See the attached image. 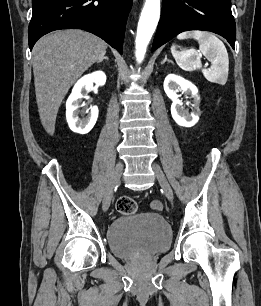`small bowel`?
<instances>
[{"instance_id":"1","label":"small bowel","mask_w":261,"mask_h":306,"mask_svg":"<svg viewBox=\"0 0 261 306\" xmlns=\"http://www.w3.org/2000/svg\"><path fill=\"white\" fill-rule=\"evenodd\" d=\"M158 205H159V204H158L157 202H155V203H154V206H156V207H157Z\"/></svg>"}]
</instances>
